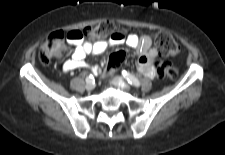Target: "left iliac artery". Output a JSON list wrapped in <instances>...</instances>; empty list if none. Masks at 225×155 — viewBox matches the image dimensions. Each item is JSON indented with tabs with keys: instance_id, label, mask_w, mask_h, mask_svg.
Listing matches in <instances>:
<instances>
[{
	"instance_id": "left-iliac-artery-1",
	"label": "left iliac artery",
	"mask_w": 225,
	"mask_h": 155,
	"mask_svg": "<svg viewBox=\"0 0 225 155\" xmlns=\"http://www.w3.org/2000/svg\"><path fill=\"white\" fill-rule=\"evenodd\" d=\"M122 75L124 78L127 79V81L131 84V85H134L136 87H139L140 86V81L132 74H130L129 72L127 71H122Z\"/></svg>"
}]
</instances>
